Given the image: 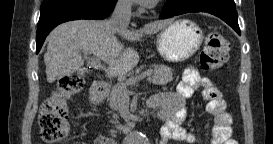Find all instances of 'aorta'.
Here are the masks:
<instances>
[{
	"instance_id": "obj_1",
	"label": "aorta",
	"mask_w": 273,
	"mask_h": 144,
	"mask_svg": "<svg viewBox=\"0 0 273 144\" xmlns=\"http://www.w3.org/2000/svg\"><path fill=\"white\" fill-rule=\"evenodd\" d=\"M146 137L142 133H132L126 140V144H146Z\"/></svg>"
}]
</instances>
